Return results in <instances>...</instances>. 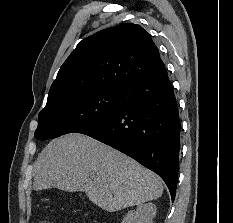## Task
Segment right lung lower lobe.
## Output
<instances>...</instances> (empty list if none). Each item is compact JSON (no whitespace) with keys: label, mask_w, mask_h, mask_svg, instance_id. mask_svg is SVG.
I'll use <instances>...</instances> for the list:
<instances>
[{"label":"right lung lower lobe","mask_w":233,"mask_h":223,"mask_svg":"<svg viewBox=\"0 0 233 223\" xmlns=\"http://www.w3.org/2000/svg\"><path fill=\"white\" fill-rule=\"evenodd\" d=\"M120 109L77 133L91 136L157 173L175 198L180 120L166 68L121 88Z\"/></svg>","instance_id":"98d812e1"}]
</instances>
